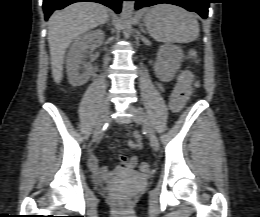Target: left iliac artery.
<instances>
[{"instance_id":"left-iliac-artery-1","label":"left iliac artery","mask_w":260,"mask_h":217,"mask_svg":"<svg viewBox=\"0 0 260 217\" xmlns=\"http://www.w3.org/2000/svg\"><path fill=\"white\" fill-rule=\"evenodd\" d=\"M139 110H140L143 114H145L143 108L139 107Z\"/></svg>"}]
</instances>
